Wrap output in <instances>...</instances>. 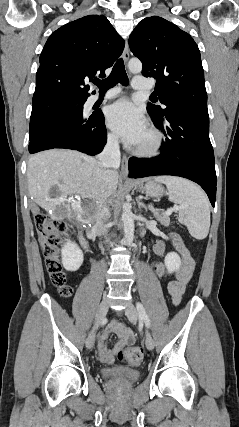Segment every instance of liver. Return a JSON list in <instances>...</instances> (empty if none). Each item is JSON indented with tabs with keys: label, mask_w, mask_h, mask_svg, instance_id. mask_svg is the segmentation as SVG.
<instances>
[{
	"label": "liver",
	"mask_w": 239,
	"mask_h": 427,
	"mask_svg": "<svg viewBox=\"0 0 239 427\" xmlns=\"http://www.w3.org/2000/svg\"><path fill=\"white\" fill-rule=\"evenodd\" d=\"M119 175L103 168L97 158L77 151L53 149L30 157L27 166L29 195L34 202L49 212L51 219L62 220L71 215L68 196L91 199L90 212L77 203L75 214L98 218L101 207L117 190ZM57 186L53 194L51 188Z\"/></svg>",
	"instance_id": "liver-1"
}]
</instances>
